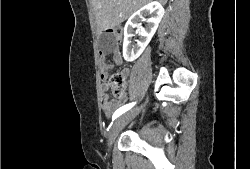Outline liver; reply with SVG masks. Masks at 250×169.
I'll list each match as a JSON object with an SVG mask.
<instances>
[{
    "label": "liver",
    "mask_w": 250,
    "mask_h": 169,
    "mask_svg": "<svg viewBox=\"0 0 250 169\" xmlns=\"http://www.w3.org/2000/svg\"><path fill=\"white\" fill-rule=\"evenodd\" d=\"M146 2L151 0H91L99 32L106 28H116L129 14ZM159 2L166 4L167 0Z\"/></svg>",
    "instance_id": "obj_1"
}]
</instances>
